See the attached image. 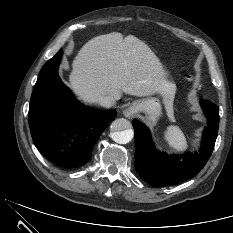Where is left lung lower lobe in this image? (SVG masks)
Here are the masks:
<instances>
[{
	"mask_svg": "<svg viewBox=\"0 0 233 233\" xmlns=\"http://www.w3.org/2000/svg\"><path fill=\"white\" fill-rule=\"evenodd\" d=\"M201 107L208 120L199 153L194 155H168L159 153L151 140L149 129L137 120L135 131V169L151 185L163 187L198 174L207 163L214 149L219 125V108L202 99Z\"/></svg>",
	"mask_w": 233,
	"mask_h": 233,
	"instance_id": "0a47b994",
	"label": "left lung lower lobe"
}]
</instances>
